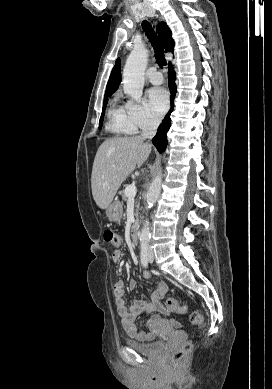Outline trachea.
<instances>
[{"label":"trachea","instance_id":"3493384b","mask_svg":"<svg viewBox=\"0 0 272 389\" xmlns=\"http://www.w3.org/2000/svg\"><path fill=\"white\" fill-rule=\"evenodd\" d=\"M142 27H143V30H144L146 36L148 37L149 41L152 44L157 64L160 65L161 67L166 66V59L164 58L163 47L159 43L158 37H157L156 33L154 32L152 26L150 25V23L148 21L144 20L142 22Z\"/></svg>","mask_w":272,"mask_h":389}]
</instances>
